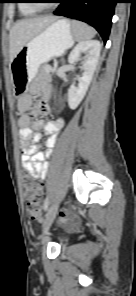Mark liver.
<instances>
[{"mask_svg": "<svg viewBox=\"0 0 136 296\" xmlns=\"http://www.w3.org/2000/svg\"><path fill=\"white\" fill-rule=\"evenodd\" d=\"M56 19L53 16H44L18 21L10 30V60L12 61L26 43Z\"/></svg>", "mask_w": 136, "mask_h": 296, "instance_id": "6515ba94", "label": "liver"}]
</instances>
